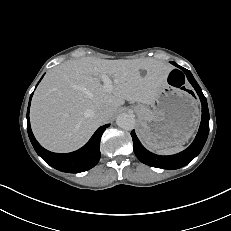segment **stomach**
<instances>
[{
	"mask_svg": "<svg viewBox=\"0 0 231 231\" xmlns=\"http://www.w3.org/2000/svg\"><path fill=\"white\" fill-rule=\"evenodd\" d=\"M140 135L153 150L173 147L186 142L199 121L198 102L181 83L166 78L154 102L135 106Z\"/></svg>",
	"mask_w": 231,
	"mask_h": 231,
	"instance_id": "0dacf381",
	"label": "stomach"
}]
</instances>
